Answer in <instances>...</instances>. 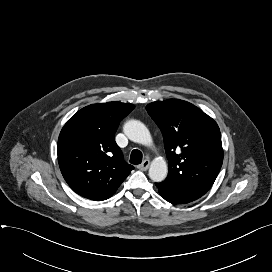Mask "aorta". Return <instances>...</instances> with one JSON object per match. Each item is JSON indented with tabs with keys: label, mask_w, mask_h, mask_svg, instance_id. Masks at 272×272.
<instances>
[{
	"label": "aorta",
	"mask_w": 272,
	"mask_h": 272,
	"mask_svg": "<svg viewBox=\"0 0 272 272\" xmlns=\"http://www.w3.org/2000/svg\"><path fill=\"white\" fill-rule=\"evenodd\" d=\"M126 136L133 142L150 145L152 138L148 128L139 120H129L123 127ZM168 172L166 161L162 158H156L152 161L149 168V177L154 182L163 181Z\"/></svg>",
	"instance_id": "aorta-1"
}]
</instances>
